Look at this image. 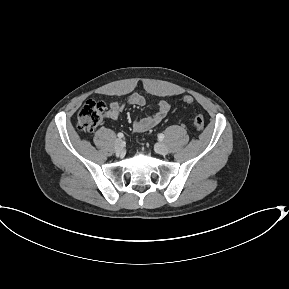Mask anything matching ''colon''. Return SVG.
<instances>
[{
  "instance_id": "obj_1",
  "label": "colon",
  "mask_w": 289,
  "mask_h": 289,
  "mask_svg": "<svg viewBox=\"0 0 289 289\" xmlns=\"http://www.w3.org/2000/svg\"><path fill=\"white\" fill-rule=\"evenodd\" d=\"M185 104H192L193 97L187 95L183 98ZM105 104L102 101H97L93 99L87 100L81 107L77 115V127L79 130L84 132L93 131L102 121ZM204 117L202 114L198 113L194 117V126L198 131L204 128Z\"/></svg>"
}]
</instances>
